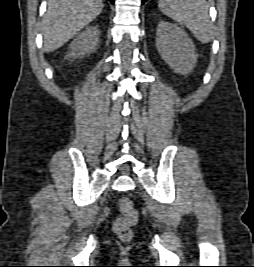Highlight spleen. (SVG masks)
Masks as SVG:
<instances>
[{"mask_svg":"<svg viewBox=\"0 0 254 267\" xmlns=\"http://www.w3.org/2000/svg\"><path fill=\"white\" fill-rule=\"evenodd\" d=\"M162 13L180 25H185L202 43L213 39V24L206 0H159Z\"/></svg>","mask_w":254,"mask_h":267,"instance_id":"3e777b00","label":"spleen"}]
</instances>
